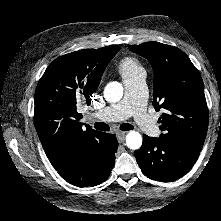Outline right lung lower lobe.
<instances>
[{"label": "right lung lower lobe", "mask_w": 221, "mask_h": 221, "mask_svg": "<svg viewBox=\"0 0 221 221\" xmlns=\"http://www.w3.org/2000/svg\"><path fill=\"white\" fill-rule=\"evenodd\" d=\"M117 147L115 135L100 132L91 148L69 154L53 166L67 182L75 186H96L108 178L114 166Z\"/></svg>", "instance_id": "right-lung-lower-lobe-1"}]
</instances>
